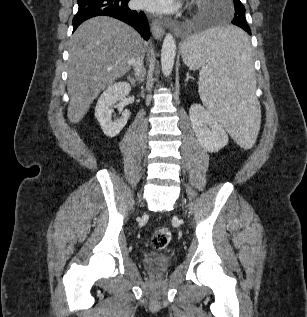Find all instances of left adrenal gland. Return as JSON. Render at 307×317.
Returning <instances> with one entry per match:
<instances>
[{
  "instance_id": "left-adrenal-gland-1",
  "label": "left adrenal gland",
  "mask_w": 307,
  "mask_h": 317,
  "mask_svg": "<svg viewBox=\"0 0 307 317\" xmlns=\"http://www.w3.org/2000/svg\"><path fill=\"white\" fill-rule=\"evenodd\" d=\"M190 78H192L190 75H189V73H187V75H186V82H188V80L190 79Z\"/></svg>"
}]
</instances>
